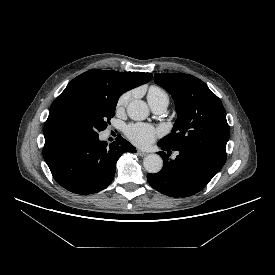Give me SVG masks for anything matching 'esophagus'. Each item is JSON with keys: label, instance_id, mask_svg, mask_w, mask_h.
I'll list each match as a JSON object with an SVG mask.
<instances>
[{"label": "esophagus", "instance_id": "obj_1", "mask_svg": "<svg viewBox=\"0 0 275 275\" xmlns=\"http://www.w3.org/2000/svg\"><path fill=\"white\" fill-rule=\"evenodd\" d=\"M137 153H138V155L141 156V157H144V156L147 155V152L142 151V150H138Z\"/></svg>", "mask_w": 275, "mask_h": 275}]
</instances>
